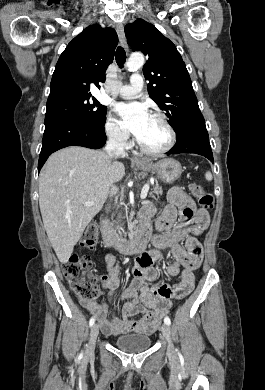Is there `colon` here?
Returning <instances> with one entry per match:
<instances>
[{
  "label": "colon",
  "mask_w": 265,
  "mask_h": 390,
  "mask_svg": "<svg viewBox=\"0 0 265 390\" xmlns=\"http://www.w3.org/2000/svg\"><path fill=\"white\" fill-rule=\"evenodd\" d=\"M190 191L198 199L203 209L209 210L213 208L214 198L212 194L206 193L200 185L196 183L191 184ZM97 240L98 225L95 222H91L84 231L81 245L93 248ZM62 271L70 290L80 301H93L99 297L98 276L93 269L91 259L87 255H71L63 264Z\"/></svg>",
  "instance_id": "1"
}]
</instances>
